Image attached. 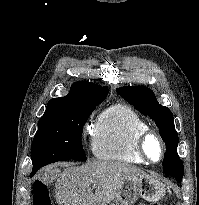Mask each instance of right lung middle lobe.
<instances>
[{
	"mask_svg": "<svg viewBox=\"0 0 199 205\" xmlns=\"http://www.w3.org/2000/svg\"><path fill=\"white\" fill-rule=\"evenodd\" d=\"M102 101L84 100L45 111L32 142L33 169L30 175L57 161L86 160L81 142L83 126Z\"/></svg>",
	"mask_w": 199,
	"mask_h": 205,
	"instance_id": "dd1d6c3e",
	"label": "right lung middle lobe"
}]
</instances>
